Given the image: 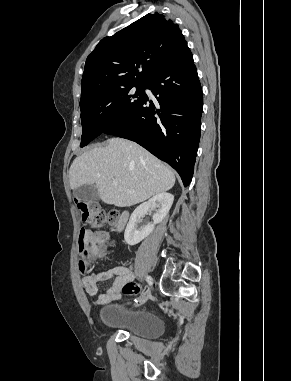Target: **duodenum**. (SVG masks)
Listing matches in <instances>:
<instances>
[{
  "instance_id": "duodenum-1",
  "label": "duodenum",
  "mask_w": 291,
  "mask_h": 381,
  "mask_svg": "<svg viewBox=\"0 0 291 381\" xmlns=\"http://www.w3.org/2000/svg\"><path fill=\"white\" fill-rule=\"evenodd\" d=\"M127 218H128V213L127 212H123L117 222V230L118 231H121L127 221Z\"/></svg>"
}]
</instances>
